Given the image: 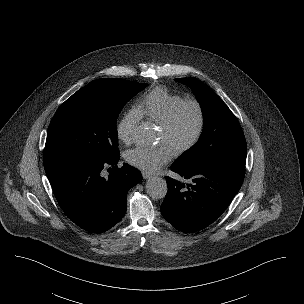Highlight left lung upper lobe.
<instances>
[{
	"label": "left lung upper lobe",
	"mask_w": 304,
	"mask_h": 304,
	"mask_svg": "<svg viewBox=\"0 0 304 304\" xmlns=\"http://www.w3.org/2000/svg\"><path fill=\"white\" fill-rule=\"evenodd\" d=\"M194 90L204 117L201 137L175 163L187 169L233 164L245 167L247 146L242 128L227 105L197 78H178Z\"/></svg>",
	"instance_id": "5c2ea615"
}]
</instances>
